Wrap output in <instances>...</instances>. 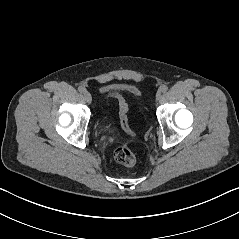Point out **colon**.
<instances>
[{
    "label": "colon",
    "instance_id": "obj_1",
    "mask_svg": "<svg viewBox=\"0 0 239 239\" xmlns=\"http://www.w3.org/2000/svg\"><path fill=\"white\" fill-rule=\"evenodd\" d=\"M117 99L119 102L121 125L126 132L134 134L135 130L130 126L128 121V105L122 97L117 96ZM114 159L117 163L127 167H131L136 164L135 154L129 148L124 146L117 147L114 150Z\"/></svg>",
    "mask_w": 239,
    "mask_h": 239
}]
</instances>
